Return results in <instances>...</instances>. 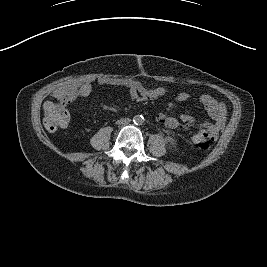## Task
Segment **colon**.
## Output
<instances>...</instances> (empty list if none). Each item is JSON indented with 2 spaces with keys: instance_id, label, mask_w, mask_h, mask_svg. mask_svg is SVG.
Masks as SVG:
<instances>
[{
  "instance_id": "obj_1",
  "label": "colon",
  "mask_w": 267,
  "mask_h": 267,
  "mask_svg": "<svg viewBox=\"0 0 267 267\" xmlns=\"http://www.w3.org/2000/svg\"><path fill=\"white\" fill-rule=\"evenodd\" d=\"M42 112L43 123L49 131L59 130L66 127L69 123L67 112L57 102H45L42 107ZM212 141L213 137L205 132L198 131L192 137L193 146L200 150L208 149Z\"/></svg>"
}]
</instances>
